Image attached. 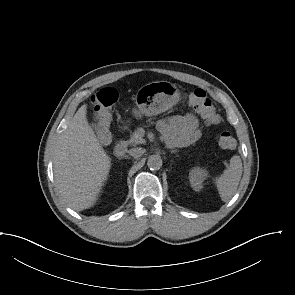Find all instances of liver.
Instances as JSON below:
<instances>
[{"instance_id":"obj_1","label":"liver","mask_w":295,"mask_h":295,"mask_svg":"<svg viewBox=\"0 0 295 295\" xmlns=\"http://www.w3.org/2000/svg\"><path fill=\"white\" fill-rule=\"evenodd\" d=\"M86 114L87 105H83L59 136L53 157L56 187L76 211L97 202L111 168V158L99 143Z\"/></svg>"}]
</instances>
